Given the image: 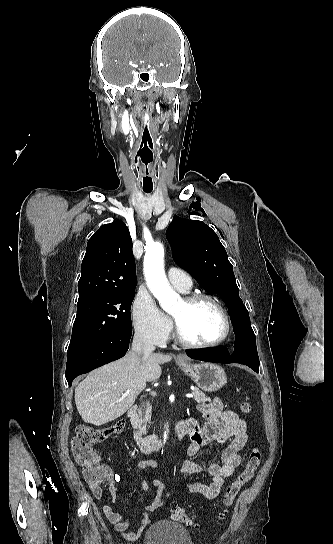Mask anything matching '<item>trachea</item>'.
I'll list each match as a JSON object with an SVG mask.
<instances>
[{"instance_id":"trachea-1","label":"trachea","mask_w":333,"mask_h":544,"mask_svg":"<svg viewBox=\"0 0 333 544\" xmlns=\"http://www.w3.org/2000/svg\"><path fill=\"white\" fill-rule=\"evenodd\" d=\"M152 191V189H144V192L146 193H150Z\"/></svg>"}]
</instances>
